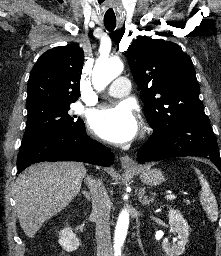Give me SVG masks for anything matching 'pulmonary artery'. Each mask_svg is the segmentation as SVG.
<instances>
[{"label": "pulmonary artery", "instance_id": "e3ab8cb5", "mask_svg": "<svg viewBox=\"0 0 221 256\" xmlns=\"http://www.w3.org/2000/svg\"><path fill=\"white\" fill-rule=\"evenodd\" d=\"M130 90V82L125 77H118L108 87L106 94L110 97L121 98L126 96Z\"/></svg>", "mask_w": 221, "mask_h": 256}]
</instances>
